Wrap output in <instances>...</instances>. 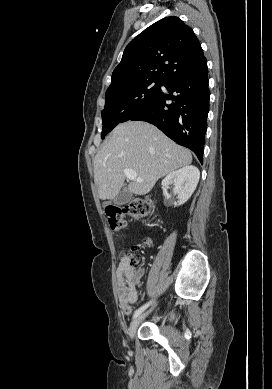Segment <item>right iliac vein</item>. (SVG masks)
Wrapping results in <instances>:
<instances>
[{
	"label": "right iliac vein",
	"instance_id": "1",
	"mask_svg": "<svg viewBox=\"0 0 272 389\" xmlns=\"http://www.w3.org/2000/svg\"><path fill=\"white\" fill-rule=\"evenodd\" d=\"M153 308H151L149 311L139 315L131 324L130 326V329H129V336L131 339L134 338L135 334H136V331H137V328L139 326V324L141 323V321L151 312Z\"/></svg>",
	"mask_w": 272,
	"mask_h": 389
}]
</instances>
